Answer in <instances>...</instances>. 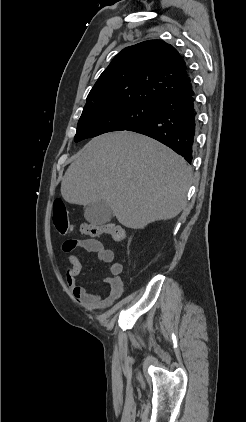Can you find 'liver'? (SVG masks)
<instances>
[{
	"mask_svg": "<svg viewBox=\"0 0 246 422\" xmlns=\"http://www.w3.org/2000/svg\"><path fill=\"white\" fill-rule=\"evenodd\" d=\"M191 178L187 162L170 148L119 131L95 137L83 147L62 178L61 194L70 204L103 200L120 224L143 229L182 211Z\"/></svg>",
	"mask_w": 246,
	"mask_h": 422,
	"instance_id": "liver-1",
	"label": "liver"
}]
</instances>
